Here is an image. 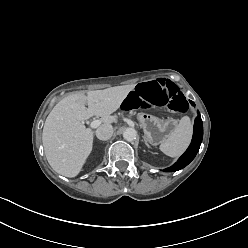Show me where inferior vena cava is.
Wrapping results in <instances>:
<instances>
[{"instance_id": "1", "label": "inferior vena cava", "mask_w": 248, "mask_h": 248, "mask_svg": "<svg viewBox=\"0 0 248 248\" xmlns=\"http://www.w3.org/2000/svg\"><path fill=\"white\" fill-rule=\"evenodd\" d=\"M113 131L112 125L104 124L96 130V136L99 140H108L112 137Z\"/></svg>"}]
</instances>
